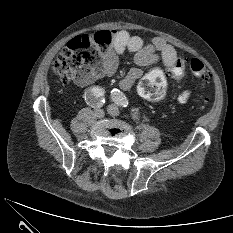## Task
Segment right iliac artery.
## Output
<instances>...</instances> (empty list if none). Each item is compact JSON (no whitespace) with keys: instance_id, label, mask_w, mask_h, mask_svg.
I'll list each match as a JSON object with an SVG mask.
<instances>
[{"instance_id":"1","label":"right iliac artery","mask_w":233,"mask_h":233,"mask_svg":"<svg viewBox=\"0 0 233 233\" xmlns=\"http://www.w3.org/2000/svg\"><path fill=\"white\" fill-rule=\"evenodd\" d=\"M104 89L101 87H93L85 94V100L92 107H102L105 103Z\"/></svg>"}]
</instances>
